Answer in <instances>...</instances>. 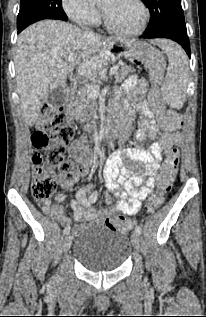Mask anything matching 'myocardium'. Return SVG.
<instances>
[{"mask_svg": "<svg viewBox=\"0 0 206 317\" xmlns=\"http://www.w3.org/2000/svg\"><path fill=\"white\" fill-rule=\"evenodd\" d=\"M139 7L141 8L142 12H143V19L142 22L140 24V26L132 31H125V30H120L118 28H116L108 19L104 9L101 7V16H102V20L103 23L105 25V27L112 33L119 35V36H123V37H134V36H138L141 33L144 32V30L146 29L149 20H150V10L147 7V5L144 3L143 0H134Z\"/></svg>", "mask_w": 206, "mask_h": 317, "instance_id": "1", "label": "myocardium"}]
</instances>
